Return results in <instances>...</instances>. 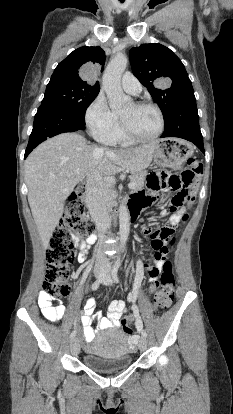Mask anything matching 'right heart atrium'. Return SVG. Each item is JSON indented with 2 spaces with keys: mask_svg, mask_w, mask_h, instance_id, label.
<instances>
[{
  "mask_svg": "<svg viewBox=\"0 0 233 414\" xmlns=\"http://www.w3.org/2000/svg\"><path fill=\"white\" fill-rule=\"evenodd\" d=\"M85 122L95 139L109 144L118 124V116L110 109L105 96L100 93L86 108Z\"/></svg>",
  "mask_w": 233,
  "mask_h": 414,
  "instance_id": "d8ad5b80",
  "label": "right heart atrium"
}]
</instances>
